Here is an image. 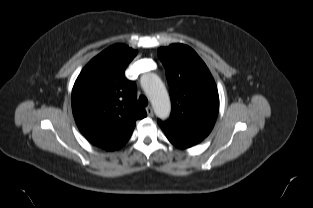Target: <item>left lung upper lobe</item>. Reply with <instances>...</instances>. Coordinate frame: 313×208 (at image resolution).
I'll return each instance as SVG.
<instances>
[{
	"label": "left lung upper lobe",
	"instance_id": "obj_1",
	"mask_svg": "<svg viewBox=\"0 0 313 208\" xmlns=\"http://www.w3.org/2000/svg\"><path fill=\"white\" fill-rule=\"evenodd\" d=\"M170 87L172 112L158 120L172 144L191 147L211 132L219 111L215 81L202 59L187 45L172 44L158 49Z\"/></svg>",
	"mask_w": 313,
	"mask_h": 208
}]
</instances>
